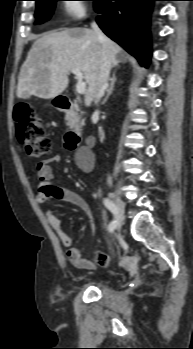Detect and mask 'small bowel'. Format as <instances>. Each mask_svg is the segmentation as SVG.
Instances as JSON below:
<instances>
[{
	"instance_id": "1",
	"label": "small bowel",
	"mask_w": 193,
	"mask_h": 349,
	"mask_svg": "<svg viewBox=\"0 0 193 349\" xmlns=\"http://www.w3.org/2000/svg\"><path fill=\"white\" fill-rule=\"evenodd\" d=\"M59 155L51 156L36 165V173L39 179L38 193L36 200L40 205L47 204L50 200H57L69 203L84 213H88L90 208L87 201L76 191L59 187L53 184L54 173L52 165L60 161ZM77 165L84 172H90L94 167L95 158L91 151L81 152L77 156ZM47 220L57 234L61 243L68 248L67 257L72 264L82 270H96L99 267L106 268L110 264V257L101 252H95L94 260L86 259L82 256V249L72 246V238L64 229L61 220L51 211L46 210Z\"/></svg>"
}]
</instances>
